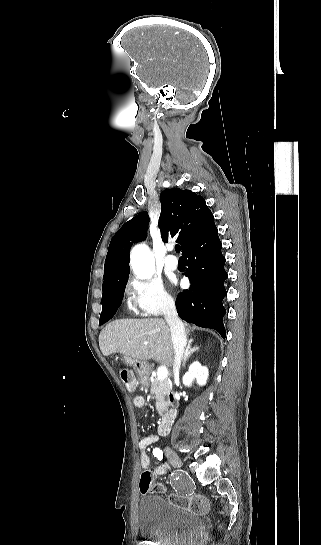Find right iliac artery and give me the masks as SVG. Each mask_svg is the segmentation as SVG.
Instances as JSON below:
<instances>
[{"label": "right iliac artery", "mask_w": 321, "mask_h": 545, "mask_svg": "<svg viewBox=\"0 0 321 545\" xmlns=\"http://www.w3.org/2000/svg\"><path fill=\"white\" fill-rule=\"evenodd\" d=\"M153 455H154L155 457H157L159 460H161V459L163 458V452H162V450L159 449V448H155V449L153 450Z\"/></svg>", "instance_id": "1"}]
</instances>
